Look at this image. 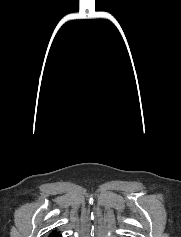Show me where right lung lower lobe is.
<instances>
[{"instance_id": "obj_1", "label": "right lung lower lobe", "mask_w": 181, "mask_h": 237, "mask_svg": "<svg viewBox=\"0 0 181 237\" xmlns=\"http://www.w3.org/2000/svg\"><path fill=\"white\" fill-rule=\"evenodd\" d=\"M50 237H61V235L58 234V233H56V234H54V235H50Z\"/></svg>"}]
</instances>
